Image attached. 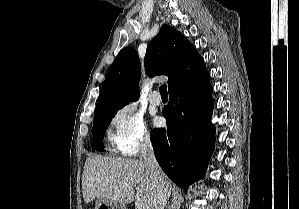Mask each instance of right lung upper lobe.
<instances>
[{
    "label": "right lung upper lobe",
    "instance_id": "obj_1",
    "mask_svg": "<svg viewBox=\"0 0 299 209\" xmlns=\"http://www.w3.org/2000/svg\"><path fill=\"white\" fill-rule=\"evenodd\" d=\"M144 65L150 77L168 76V90L199 79L207 69L193 45L175 28L163 25L148 44ZM141 65L133 47L122 49L103 82L94 115L107 113L139 98Z\"/></svg>",
    "mask_w": 299,
    "mask_h": 209
}]
</instances>
